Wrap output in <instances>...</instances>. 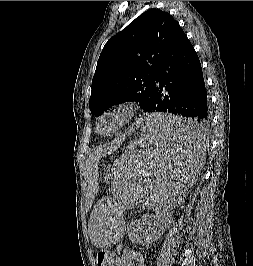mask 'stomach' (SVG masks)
I'll return each instance as SVG.
<instances>
[{
	"instance_id": "0dacf381",
	"label": "stomach",
	"mask_w": 253,
	"mask_h": 266,
	"mask_svg": "<svg viewBox=\"0 0 253 266\" xmlns=\"http://www.w3.org/2000/svg\"><path fill=\"white\" fill-rule=\"evenodd\" d=\"M153 115H155V114H153ZM136 145H138V139L131 142L128 145L127 149L124 151V153H132L133 150H136ZM111 170L114 171V174L116 175L117 169H115L114 166L111 168ZM100 247H107V246H100Z\"/></svg>"
}]
</instances>
